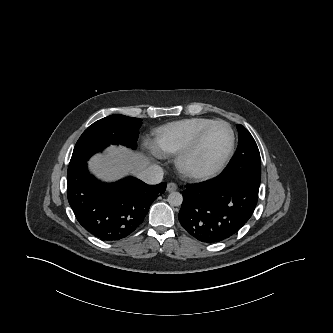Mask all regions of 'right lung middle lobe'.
<instances>
[{"mask_svg":"<svg viewBox=\"0 0 333 333\" xmlns=\"http://www.w3.org/2000/svg\"><path fill=\"white\" fill-rule=\"evenodd\" d=\"M142 119L124 115H111L90 125L77 141L68 172L110 144H122L135 149Z\"/></svg>","mask_w":333,"mask_h":333,"instance_id":"right-lung-middle-lobe-1","label":"right lung middle lobe"}]
</instances>
